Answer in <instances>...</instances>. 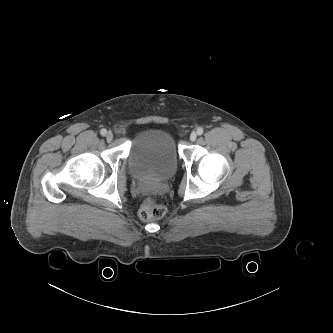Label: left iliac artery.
<instances>
[{"label":"left iliac artery","mask_w":333,"mask_h":333,"mask_svg":"<svg viewBox=\"0 0 333 333\" xmlns=\"http://www.w3.org/2000/svg\"><path fill=\"white\" fill-rule=\"evenodd\" d=\"M203 132H204V131H203V129H202V128H198V129H197V134H198V135H202V134H203Z\"/></svg>","instance_id":"44dca946"}]
</instances>
